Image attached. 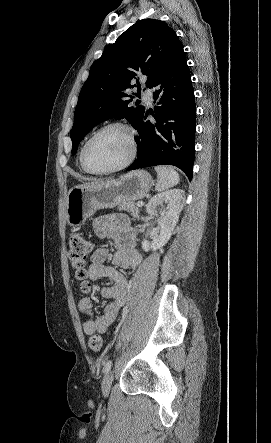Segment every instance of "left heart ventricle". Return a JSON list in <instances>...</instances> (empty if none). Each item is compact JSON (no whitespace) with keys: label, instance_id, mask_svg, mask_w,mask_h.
Wrapping results in <instances>:
<instances>
[{"label":"left heart ventricle","instance_id":"b2bd125f","mask_svg":"<svg viewBox=\"0 0 271 443\" xmlns=\"http://www.w3.org/2000/svg\"><path fill=\"white\" fill-rule=\"evenodd\" d=\"M130 150L127 133L119 128L107 129L99 134L87 149L89 164L97 169H107L123 162Z\"/></svg>","mask_w":271,"mask_h":443}]
</instances>
